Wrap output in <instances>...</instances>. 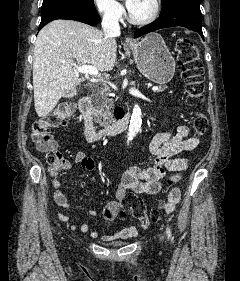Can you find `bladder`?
<instances>
[{
  "mask_svg": "<svg viewBox=\"0 0 240 281\" xmlns=\"http://www.w3.org/2000/svg\"><path fill=\"white\" fill-rule=\"evenodd\" d=\"M111 244L114 245V246H121V245L126 244V242L125 241H117V242H113Z\"/></svg>",
  "mask_w": 240,
  "mask_h": 281,
  "instance_id": "31cf9c89",
  "label": "bladder"
}]
</instances>
